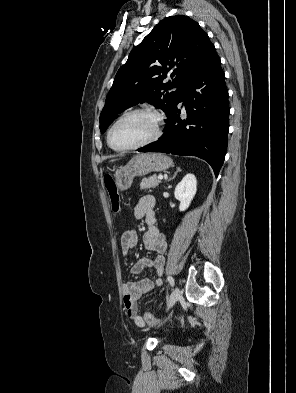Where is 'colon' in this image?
Here are the masks:
<instances>
[{
	"label": "colon",
	"instance_id": "1",
	"mask_svg": "<svg viewBox=\"0 0 296 393\" xmlns=\"http://www.w3.org/2000/svg\"><path fill=\"white\" fill-rule=\"evenodd\" d=\"M103 184L109 194L111 209L113 213L117 214L120 211V199L113 176L110 174L105 175ZM144 320L150 325L159 324V321L150 312H145Z\"/></svg>",
	"mask_w": 296,
	"mask_h": 393
}]
</instances>
